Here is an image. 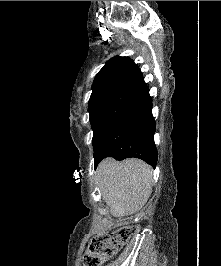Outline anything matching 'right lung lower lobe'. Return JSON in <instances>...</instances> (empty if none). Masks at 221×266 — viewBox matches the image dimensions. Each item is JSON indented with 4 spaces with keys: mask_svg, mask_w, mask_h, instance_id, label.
I'll use <instances>...</instances> for the list:
<instances>
[{
    "mask_svg": "<svg viewBox=\"0 0 221 266\" xmlns=\"http://www.w3.org/2000/svg\"><path fill=\"white\" fill-rule=\"evenodd\" d=\"M154 133L152 99L146 85L95 151V166L103 158L111 156L117 160L140 158L155 168L158 155Z\"/></svg>",
    "mask_w": 221,
    "mask_h": 266,
    "instance_id": "right-lung-lower-lobe-1",
    "label": "right lung lower lobe"
}]
</instances>
